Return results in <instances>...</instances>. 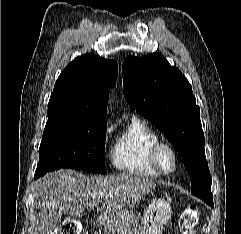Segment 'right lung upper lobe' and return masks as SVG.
<instances>
[{"label":"right lung upper lobe","mask_w":241,"mask_h":234,"mask_svg":"<svg viewBox=\"0 0 241 234\" xmlns=\"http://www.w3.org/2000/svg\"><path fill=\"white\" fill-rule=\"evenodd\" d=\"M117 76L115 61L90 54L75 58L58 77L48 111L68 110L83 122L107 124L106 104Z\"/></svg>","instance_id":"obj_1"}]
</instances>
